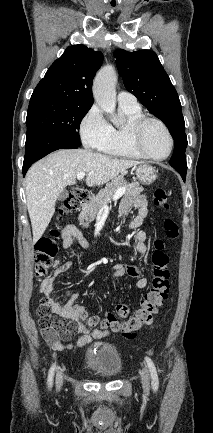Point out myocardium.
I'll use <instances>...</instances> for the list:
<instances>
[{"label":"myocardium","mask_w":213,"mask_h":433,"mask_svg":"<svg viewBox=\"0 0 213 433\" xmlns=\"http://www.w3.org/2000/svg\"><path fill=\"white\" fill-rule=\"evenodd\" d=\"M155 123L159 125L166 133L168 139H169V150L166 155L164 156H155L150 154L144 147L142 142V136L143 131L145 127L150 124ZM128 137L129 141L134 148L135 151H137L142 157L152 159V160H165L167 159L173 152L174 149V137L168 128V126L160 119L155 117H149V116H141L140 118L134 120L130 123L128 127Z\"/></svg>","instance_id":"obj_1"}]
</instances>
